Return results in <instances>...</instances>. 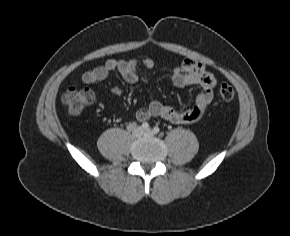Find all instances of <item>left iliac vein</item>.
<instances>
[{"label":"left iliac vein","mask_w":290,"mask_h":236,"mask_svg":"<svg viewBox=\"0 0 290 236\" xmlns=\"http://www.w3.org/2000/svg\"><path fill=\"white\" fill-rule=\"evenodd\" d=\"M145 135H148V136H153L154 135V132L151 130V129H148L144 132Z\"/></svg>","instance_id":"obj_1"}]
</instances>
